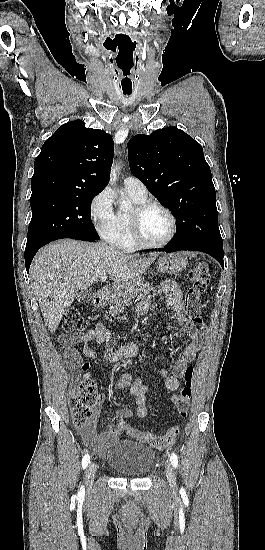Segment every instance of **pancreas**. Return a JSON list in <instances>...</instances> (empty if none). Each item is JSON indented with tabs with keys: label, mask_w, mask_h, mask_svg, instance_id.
<instances>
[{
	"label": "pancreas",
	"mask_w": 265,
	"mask_h": 550,
	"mask_svg": "<svg viewBox=\"0 0 265 550\" xmlns=\"http://www.w3.org/2000/svg\"><path fill=\"white\" fill-rule=\"evenodd\" d=\"M152 291H154L152 285L143 281H137L115 299L114 303L110 306L109 313L111 315L119 314L131 303L132 299H144Z\"/></svg>",
	"instance_id": "cf45deb5"
}]
</instances>
